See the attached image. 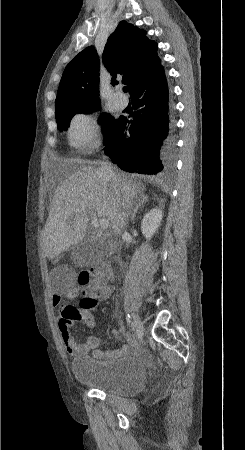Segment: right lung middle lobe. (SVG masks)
Masks as SVG:
<instances>
[{
    "mask_svg": "<svg viewBox=\"0 0 245 450\" xmlns=\"http://www.w3.org/2000/svg\"><path fill=\"white\" fill-rule=\"evenodd\" d=\"M56 107V120H57V126L59 130H66L68 127V123L70 119L77 113H92L94 111H97L100 108V104L96 105H82V104H76V103H68V104H61ZM101 120L105 122L107 126V140L106 145L110 143L111 137L114 133V129L116 127L117 122L119 119H114L110 114L103 113L101 115Z\"/></svg>",
    "mask_w": 245,
    "mask_h": 450,
    "instance_id": "right-lung-middle-lobe-1",
    "label": "right lung middle lobe"
}]
</instances>
